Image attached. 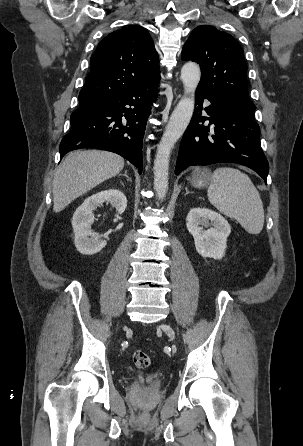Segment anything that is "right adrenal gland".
I'll return each instance as SVG.
<instances>
[{
	"mask_svg": "<svg viewBox=\"0 0 303 446\" xmlns=\"http://www.w3.org/2000/svg\"><path fill=\"white\" fill-rule=\"evenodd\" d=\"M123 176H125V177L131 182V178L127 175V170L125 171V173L123 174Z\"/></svg>",
	"mask_w": 303,
	"mask_h": 446,
	"instance_id": "obj_1",
	"label": "right adrenal gland"
}]
</instances>
